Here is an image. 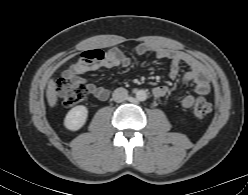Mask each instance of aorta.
I'll return each instance as SVG.
<instances>
[{"instance_id":"762f6f07","label":"aorta","mask_w":248,"mask_h":195,"mask_svg":"<svg viewBox=\"0 0 248 195\" xmlns=\"http://www.w3.org/2000/svg\"><path fill=\"white\" fill-rule=\"evenodd\" d=\"M136 99L138 101H145L147 99V93L145 90H137L136 91Z\"/></svg>"}]
</instances>
